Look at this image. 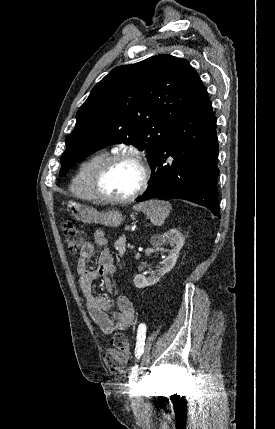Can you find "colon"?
<instances>
[{"instance_id":"colon-1","label":"colon","mask_w":275,"mask_h":429,"mask_svg":"<svg viewBox=\"0 0 275 429\" xmlns=\"http://www.w3.org/2000/svg\"><path fill=\"white\" fill-rule=\"evenodd\" d=\"M62 230L67 249L70 253H77L84 244V234L70 222H64ZM111 349L103 355V362L111 374H120L129 358V343L122 332H115L110 339Z\"/></svg>"}]
</instances>
